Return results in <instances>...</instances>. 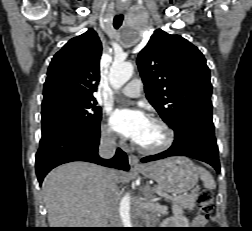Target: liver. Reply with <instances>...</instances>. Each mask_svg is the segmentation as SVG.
I'll list each match as a JSON object with an SVG mask.
<instances>
[{
    "label": "liver",
    "instance_id": "1",
    "mask_svg": "<svg viewBox=\"0 0 252 231\" xmlns=\"http://www.w3.org/2000/svg\"><path fill=\"white\" fill-rule=\"evenodd\" d=\"M118 183L123 173L86 162H71L52 170L42 184L51 228H103L107 225L109 177Z\"/></svg>",
    "mask_w": 252,
    "mask_h": 231
}]
</instances>
